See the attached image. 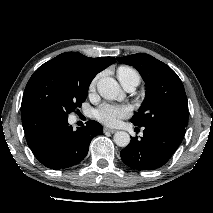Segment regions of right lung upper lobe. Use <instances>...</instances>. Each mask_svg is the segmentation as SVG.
<instances>
[{
	"mask_svg": "<svg viewBox=\"0 0 213 213\" xmlns=\"http://www.w3.org/2000/svg\"><path fill=\"white\" fill-rule=\"evenodd\" d=\"M50 62L72 68L92 80L99 72L116 61L113 57L91 58L77 52H66L58 55Z\"/></svg>",
	"mask_w": 213,
	"mask_h": 213,
	"instance_id": "1",
	"label": "right lung upper lobe"
}]
</instances>
